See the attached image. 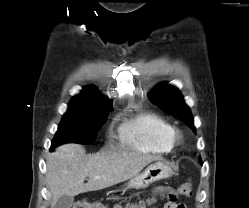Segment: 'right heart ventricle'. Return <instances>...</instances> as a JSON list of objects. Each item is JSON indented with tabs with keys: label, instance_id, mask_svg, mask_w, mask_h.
Listing matches in <instances>:
<instances>
[{
	"label": "right heart ventricle",
	"instance_id": "right-heart-ventricle-1",
	"mask_svg": "<svg viewBox=\"0 0 249 208\" xmlns=\"http://www.w3.org/2000/svg\"><path fill=\"white\" fill-rule=\"evenodd\" d=\"M122 140L134 150L146 154L172 151L174 127L162 116L144 112L134 115L121 126Z\"/></svg>",
	"mask_w": 249,
	"mask_h": 208
}]
</instances>
